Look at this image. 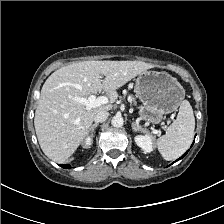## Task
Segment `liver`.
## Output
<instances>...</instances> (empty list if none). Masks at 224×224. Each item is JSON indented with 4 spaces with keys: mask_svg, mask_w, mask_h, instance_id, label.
<instances>
[{
    "mask_svg": "<svg viewBox=\"0 0 224 224\" xmlns=\"http://www.w3.org/2000/svg\"><path fill=\"white\" fill-rule=\"evenodd\" d=\"M154 65L142 61H82L64 66L45 81L34 125L38 142L51 160L65 162L83 142L99 111H109L116 90ZM101 75L105 78L101 79ZM104 91L109 102L87 109L72 98Z\"/></svg>",
    "mask_w": 224,
    "mask_h": 224,
    "instance_id": "6515ba94",
    "label": "liver"
}]
</instances>
